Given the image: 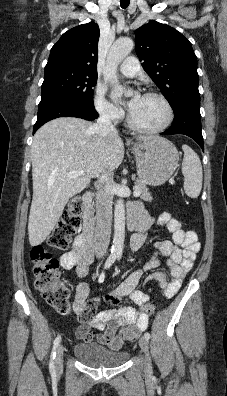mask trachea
Masks as SVG:
<instances>
[{"instance_id":"1","label":"trachea","mask_w":227,"mask_h":396,"mask_svg":"<svg viewBox=\"0 0 227 396\" xmlns=\"http://www.w3.org/2000/svg\"><path fill=\"white\" fill-rule=\"evenodd\" d=\"M130 0H120L121 7L123 9L127 8L129 5Z\"/></svg>"}]
</instances>
